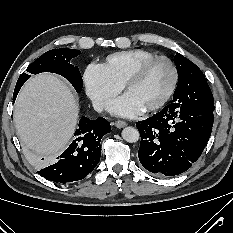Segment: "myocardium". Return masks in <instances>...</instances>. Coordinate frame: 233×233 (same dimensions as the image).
Returning a JSON list of instances; mask_svg holds the SVG:
<instances>
[{
	"instance_id": "f54148a6",
	"label": "myocardium",
	"mask_w": 233,
	"mask_h": 233,
	"mask_svg": "<svg viewBox=\"0 0 233 233\" xmlns=\"http://www.w3.org/2000/svg\"><path fill=\"white\" fill-rule=\"evenodd\" d=\"M157 61H165L169 64L171 71H172V80L170 83V86L168 88V90L166 91V93L163 95V97L157 101L156 103H154L153 105L147 107L144 109V111L146 112H152V111H156L160 108H162L172 97L177 83H178V70L177 67L175 65V63L167 56H154L150 59H147L145 61H143L141 64H139L126 78L123 87L124 90L127 92L129 87L136 81H138L142 75L145 73V71L155 62Z\"/></svg>"
}]
</instances>
